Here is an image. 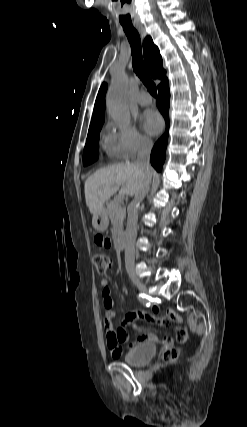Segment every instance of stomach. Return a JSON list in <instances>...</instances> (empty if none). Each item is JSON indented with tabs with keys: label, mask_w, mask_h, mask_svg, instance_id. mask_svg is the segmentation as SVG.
<instances>
[{
	"label": "stomach",
	"mask_w": 247,
	"mask_h": 427,
	"mask_svg": "<svg viewBox=\"0 0 247 427\" xmlns=\"http://www.w3.org/2000/svg\"><path fill=\"white\" fill-rule=\"evenodd\" d=\"M108 224L109 221L107 211L103 208L93 217L92 225L97 231L103 232L107 229Z\"/></svg>",
	"instance_id": "0dacf381"
}]
</instances>
